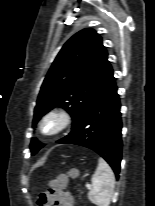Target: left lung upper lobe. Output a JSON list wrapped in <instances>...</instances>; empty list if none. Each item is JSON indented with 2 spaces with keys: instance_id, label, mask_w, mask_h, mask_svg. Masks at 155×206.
Masks as SVG:
<instances>
[{
  "instance_id": "left-lung-upper-lobe-1",
  "label": "left lung upper lobe",
  "mask_w": 155,
  "mask_h": 206,
  "mask_svg": "<svg viewBox=\"0 0 155 206\" xmlns=\"http://www.w3.org/2000/svg\"><path fill=\"white\" fill-rule=\"evenodd\" d=\"M102 39L93 29L72 36L54 60L37 99L33 125L52 108L64 107L77 124L91 102L114 79ZM43 144L32 139L31 154Z\"/></svg>"
}]
</instances>
